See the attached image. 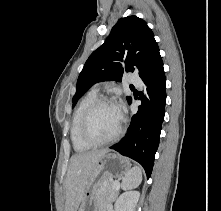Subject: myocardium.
<instances>
[{
  "mask_svg": "<svg viewBox=\"0 0 221 211\" xmlns=\"http://www.w3.org/2000/svg\"><path fill=\"white\" fill-rule=\"evenodd\" d=\"M101 105H113V103L110 99L106 97L97 98L88 106V108L83 114L82 121H81V129H80L81 136L85 142H87L88 144L92 146H102V145H107V144L115 142L122 136L124 129H125V118L121 114L120 127L118 131L112 137L105 139V140L94 139L89 133V122H90V118L93 112Z\"/></svg>",
  "mask_w": 221,
  "mask_h": 211,
  "instance_id": "obj_1",
  "label": "myocardium"
}]
</instances>
